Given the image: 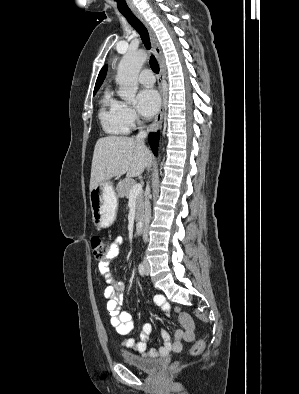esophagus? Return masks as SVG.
<instances>
[{"label":"esophagus","mask_w":299,"mask_h":394,"mask_svg":"<svg viewBox=\"0 0 299 394\" xmlns=\"http://www.w3.org/2000/svg\"><path fill=\"white\" fill-rule=\"evenodd\" d=\"M134 14L145 25V27L147 28V30L149 32L151 42L153 45V49H154V52H155V55L157 57L159 67H160V72L158 75V87H159V92L161 95V106H160V109H159L157 115L155 116V119L153 120V122L151 123V125L149 127V131H157L161 127L163 115H164V104H165V95L163 92V83H164V78H165L164 57H163V53H162V49L160 47V44L156 38V35H155L153 29L150 26V24L145 20V18L140 13L134 12Z\"/></svg>","instance_id":"1"}]
</instances>
